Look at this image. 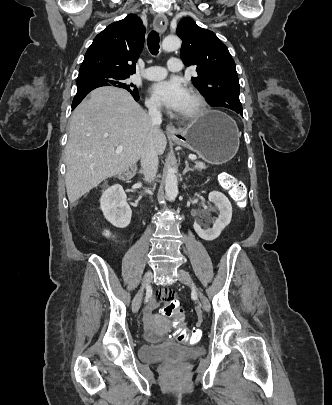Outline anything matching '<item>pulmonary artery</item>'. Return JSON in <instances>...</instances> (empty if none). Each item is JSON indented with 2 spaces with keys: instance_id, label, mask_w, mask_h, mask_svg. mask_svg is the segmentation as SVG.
I'll return each instance as SVG.
<instances>
[{
  "instance_id": "e3ab8cb5",
  "label": "pulmonary artery",
  "mask_w": 332,
  "mask_h": 405,
  "mask_svg": "<svg viewBox=\"0 0 332 405\" xmlns=\"http://www.w3.org/2000/svg\"><path fill=\"white\" fill-rule=\"evenodd\" d=\"M171 72H179L182 70L181 60L178 58H170L167 65ZM167 74V69L161 66H150L144 72V77L149 80H160Z\"/></svg>"
}]
</instances>
